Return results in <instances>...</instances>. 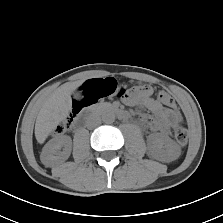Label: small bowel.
Instances as JSON below:
<instances>
[{"label":"small bowel","instance_id":"c3829d8e","mask_svg":"<svg viewBox=\"0 0 223 223\" xmlns=\"http://www.w3.org/2000/svg\"><path fill=\"white\" fill-rule=\"evenodd\" d=\"M153 94L151 87L144 86L135 90L133 94L127 95L123 101L129 105H142L147 108L153 116L143 114L140 118L141 122L152 132L167 133L181 122V114L177 109L164 107L153 98Z\"/></svg>","mask_w":223,"mask_h":223}]
</instances>
